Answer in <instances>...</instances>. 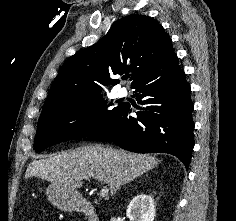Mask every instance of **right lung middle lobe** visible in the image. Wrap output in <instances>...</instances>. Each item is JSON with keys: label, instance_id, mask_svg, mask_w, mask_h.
I'll use <instances>...</instances> for the list:
<instances>
[{"label": "right lung middle lobe", "instance_id": "dd1d6c3e", "mask_svg": "<svg viewBox=\"0 0 236 221\" xmlns=\"http://www.w3.org/2000/svg\"><path fill=\"white\" fill-rule=\"evenodd\" d=\"M100 94L72 100L59 107L44 110L38 121L34 149L38 152L65 140L88 137L102 129L111 117L124 107L114 109Z\"/></svg>", "mask_w": 236, "mask_h": 221}]
</instances>
